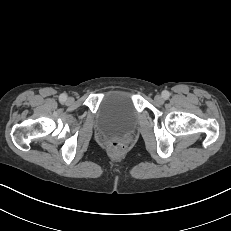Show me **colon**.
<instances>
[{
  "mask_svg": "<svg viewBox=\"0 0 231 231\" xmlns=\"http://www.w3.org/2000/svg\"><path fill=\"white\" fill-rule=\"evenodd\" d=\"M109 148L113 153H120L125 149V144L120 140H113L110 143Z\"/></svg>",
  "mask_w": 231,
  "mask_h": 231,
  "instance_id": "colon-1",
  "label": "colon"
}]
</instances>
